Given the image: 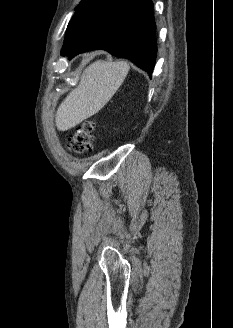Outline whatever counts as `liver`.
<instances>
[{"label":"liver","mask_w":233,"mask_h":328,"mask_svg":"<svg viewBox=\"0 0 233 328\" xmlns=\"http://www.w3.org/2000/svg\"><path fill=\"white\" fill-rule=\"evenodd\" d=\"M130 66L125 61L98 60L82 73L79 85L60 104L56 127L66 131L98 113L123 83Z\"/></svg>","instance_id":"liver-1"}]
</instances>
